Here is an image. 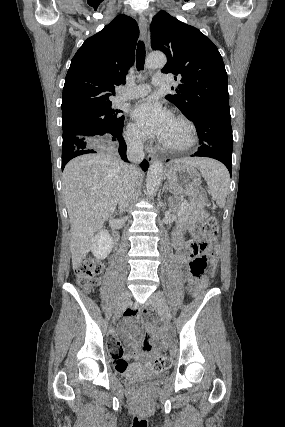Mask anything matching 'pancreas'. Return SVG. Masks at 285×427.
I'll use <instances>...</instances> for the list:
<instances>
[{
  "label": "pancreas",
  "mask_w": 285,
  "mask_h": 427,
  "mask_svg": "<svg viewBox=\"0 0 285 427\" xmlns=\"http://www.w3.org/2000/svg\"><path fill=\"white\" fill-rule=\"evenodd\" d=\"M194 215V219L195 220H200L206 216H208V214L203 210V207L196 203V202H191V204H187L182 212V215Z\"/></svg>",
  "instance_id": "obj_1"
}]
</instances>
